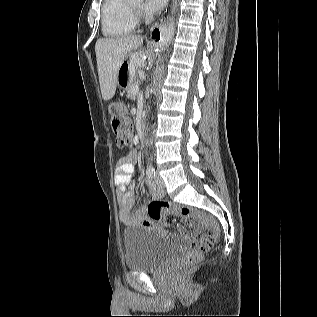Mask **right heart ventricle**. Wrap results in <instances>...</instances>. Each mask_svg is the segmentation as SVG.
<instances>
[{"mask_svg": "<svg viewBox=\"0 0 317 317\" xmlns=\"http://www.w3.org/2000/svg\"><path fill=\"white\" fill-rule=\"evenodd\" d=\"M102 33L114 38L133 32L137 17L128 0H104L101 8Z\"/></svg>", "mask_w": 317, "mask_h": 317, "instance_id": "e07e8e85", "label": "right heart ventricle"}]
</instances>
